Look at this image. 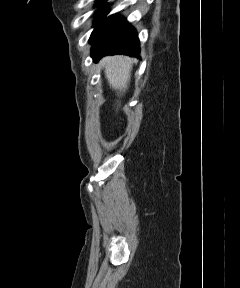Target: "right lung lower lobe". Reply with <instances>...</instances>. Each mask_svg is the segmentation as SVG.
<instances>
[{
  "mask_svg": "<svg viewBox=\"0 0 240 288\" xmlns=\"http://www.w3.org/2000/svg\"><path fill=\"white\" fill-rule=\"evenodd\" d=\"M90 42L91 56L95 61L104 55L139 56L140 53L136 31L123 17L117 15L109 17Z\"/></svg>",
  "mask_w": 240,
  "mask_h": 288,
  "instance_id": "right-lung-lower-lobe-1",
  "label": "right lung lower lobe"
}]
</instances>
